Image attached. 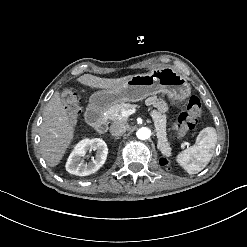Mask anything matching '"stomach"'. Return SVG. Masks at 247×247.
Listing matches in <instances>:
<instances>
[{"label": "stomach", "mask_w": 247, "mask_h": 247, "mask_svg": "<svg viewBox=\"0 0 247 247\" xmlns=\"http://www.w3.org/2000/svg\"><path fill=\"white\" fill-rule=\"evenodd\" d=\"M167 94L174 104L191 95L187 79L172 67H156L149 73L137 74L118 89H103L91 95L89 102L98 111H104L121 102H138L150 95Z\"/></svg>", "instance_id": "1"}]
</instances>
